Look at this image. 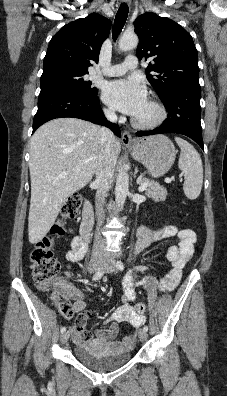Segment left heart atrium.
<instances>
[{
  "label": "left heart atrium",
  "mask_w": 227,
  "mask_h": 396,
  "mask_svg": "<svg viewBox=\"0 0 227 396\" xmlns=\"http://www.w3.org/2000/svg\"><path fill=\"white\" fill-rule=\"evenodd\" d=\"M102 98L106 104L130 116H136L148 102L146 87L135 78L107 83Z\"/></svg>",
  "instance_id": "obj_1"
}]
</instances>
